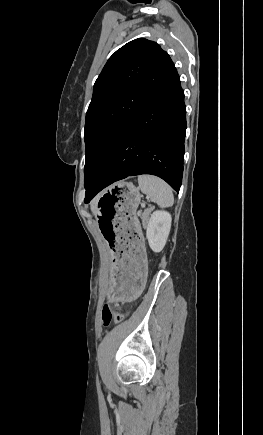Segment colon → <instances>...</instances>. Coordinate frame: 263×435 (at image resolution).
Listing matches in <instances>:
<instances>
[{"mask_svg":"<svg viewBox=\"0 0 263 435\" xmlns=\"http://www.w3.org/2000/svg\"><path fill=\"white\" fill-rule=\"evenodd\" d=\"M101 319L104 326H108L112 321L119 322L122 319L120 308L116 305H104L101 312Z\"/></svg>","mask_w":263,"mask_h":435,"instance_id":"5ec220e1","label":"colon"}]
</instances>
